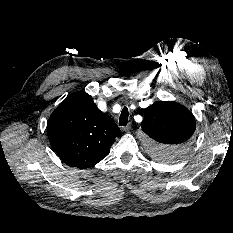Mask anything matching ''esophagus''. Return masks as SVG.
<instances>
[{
	"label": "esophagus",
	"instance_id": "esophagus-1",
	"mask_svg": "<svg viewBox=\"0 0 233 233\" xmlns=\"http://www.w3.org/2000/svg\"><path fill=\"white\" fill-rule=\"evenodd\" d=\"M132 128V125L131 123L127 124L126 126L123 127V131L124 132H129Z\"/></svg>",
	"mask_w": 233,
	"mask_h": 233
}]
</instances>
